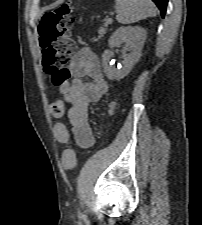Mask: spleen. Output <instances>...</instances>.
Masks as SVG:
<instances>
[{"label":"spleen","mask_w":202,"mask_h":225,"mask_svg":"<svg viewBox=\"0 0 202 225\" xmlns=\"http://www.w3.org/2000/svg\"><path fill=\"white\" fill-rule=\"evenodd\" d=\"M116 3L119 6L116 19L121 24L135 23L157 15L151 0H116Z\"/></svg>","instance_id":"spleen-1"}]
</instances>
